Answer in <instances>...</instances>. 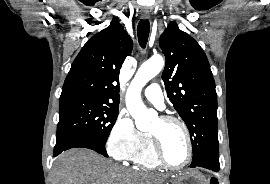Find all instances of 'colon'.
I'll use <instances>...</instances> for the list:
<instances>
[{"instance_id": "1", "label": "colon", "mask_w": 270, "mask_h": 184, "mask_svg": "<svg viewBox=\"0 0 270 184\" xmlns=\"http://www.w3.org/2000/svg\"><path fill=\"white\" fill-rule=\"evenodd\" d=\"M209 184H218V180L216 178H211Z\"/></svg>"}]
</instances>
